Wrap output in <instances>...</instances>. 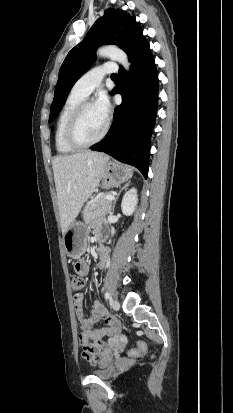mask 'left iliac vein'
<instances>
[{
    "label": "left iliac vein",
    "mask_w": 233,
    "mask_h": 413,
    "mask_svg": "<svg viewBox=\"0 0 233 413\" xmlns=\"http://www.w3.org/2000/svg\"><path fill=\"white\" fill-rule=\"evenodd\" d=\"M110 304L114 310H119L120 303L117 299H111Z\"/></svg>",
    "instance_id": "obj_1"
}]
</instances>
